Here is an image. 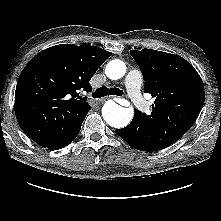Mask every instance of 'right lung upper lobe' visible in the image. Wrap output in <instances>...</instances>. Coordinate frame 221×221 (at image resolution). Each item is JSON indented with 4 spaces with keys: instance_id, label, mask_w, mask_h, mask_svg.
Listing matches in <instances>:
<instances>
[{
    "instance_id": "cb5924a9",
    "label": "right lung upper lobe",
    "mask_w": 221,
    "mask_h": 221,
    "mask_svg": "<svg viewBox=\"0 0 221 221\" xmlns=\"http://www.w3.org/2000/svg\"><path fill=\"white\" fill-rule=\"evenodd\" d=\"M111 55L95 46L61 44L32 58L15 91V114L22 130L42 147L74 132L91 109L78 92L92 90L90 79Z\"/></svg>"
}]
</instances>
